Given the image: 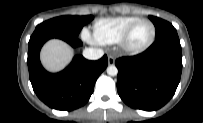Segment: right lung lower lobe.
Segmentation results:
<instances>
[{
	"label": "right lung lower lobe",
	"mask_w": 203,
	"mask_h": 123,
	"mask_svg": "<svg viewBox=\"0 0 203 123\" xmlns=\"http://www.w3.org/2000/svg\"><path fill=\"white\" fill-rule=\"evenodd\" d=\"M51 38L62 39L72 47L82 45L77 37L34 31L29 40L27 60L33 90L41 101L53 109H77L91 97L98 76L108 65L107 56L104 55L97 61H89L77 55L65 70L52 74L44 70L39 59L41 47Z\"/></svg>",
	"instance_id": "obj_1"
}]
</instances>
